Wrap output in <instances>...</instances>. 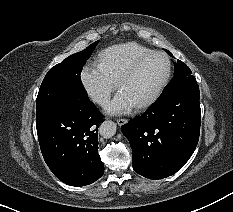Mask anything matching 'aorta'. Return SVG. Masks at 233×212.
I'll use <instances>...</instances> for the list:
<instances>
[{"instance_id":"1","label":"aorta","mask_w":233,"mask_h":212,"mask_svg":"<svg viewBox=\"0 0 233 212\" xmlns=\"http://www.w3.org/2000/svg\"><path fill=\"white\" fill-rule=\"evenodd\" d=\"M117 126L112 121H105L99 128L100 135L104 138H110L116 133Z\"/></svg>"}]
</instances>
